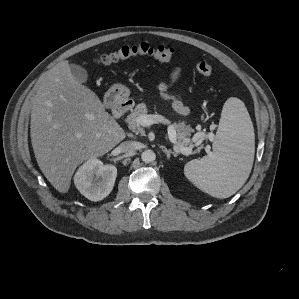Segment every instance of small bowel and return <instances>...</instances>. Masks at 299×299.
<instances>
[{"instance_id":"1","label":"small bowel","mask_w":299,"mask_h":299,"mask_svg":"<svg viewBox=\"0 0 299 299\" xmlns=\"http://www.w3.org/2000/svg\"><path fill=\"white\" fill-rule=\"evenodd\" d=\"M180 72H181V70L179 68H176L172 71L171 83L175 82L178 79V77L180 75ZM169 87H170V84L165 83V82H162L158 85V90H159L161 96L164 99H167V100L172 99L173 100V107H174L175 111L178 112L181 115H187L188 112H189L188 108L180 100L174 99L169 94V92H168Z\"/></svg>"}]
</instances>
